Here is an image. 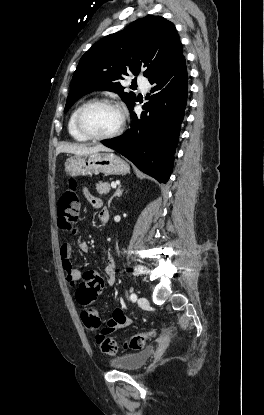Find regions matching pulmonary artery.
Masks as SVG:
<instances>
[{"label": "pulmonary artery", "instance_id": "1", "mask_svg": "<svg viewBox=\"0 0 264 415\" xmlns=\"http://www.w3.org/2000/svg\"><path fill=\"white\" fill-rule=\"evenodd\" d=\"M137 83L141 88L142 92H146L148 89V81L145 78L142 77H138L137 78Z\"/></svg>", "mask_w": 264, "mask_h": 415}]
</instances>
